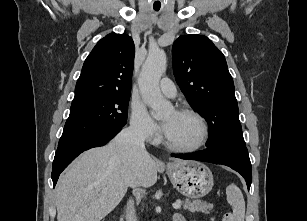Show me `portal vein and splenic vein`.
Masks as SVG:
<instances>
[{
	"label": "portal vein and splenic vein",
	"instance_id": "obj_1",
	"mask_svg": "<svg viewBox=\"0 0 307 221\" xmlns=\"http://www.w3.org/2000/svg\"><path fill=\"white\" fill-rule=\"evenodd\" d=\"M172 206H173V208L176 209V210L181 208L180 202H175V203L172 204Z\"/></svg>",
	"mask_w": 307,
	"mask_h": 221
}]
</instances>
